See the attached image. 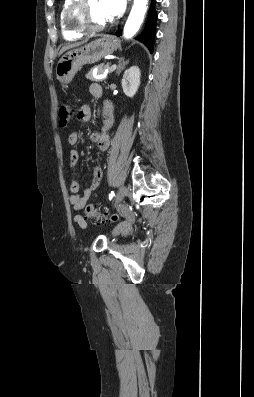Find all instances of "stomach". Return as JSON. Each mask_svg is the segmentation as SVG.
I'll use <instances>...</instances> for the list:
<instances>
[{
	"instance_id": "obj_1",
	"label": "stomach",
	"mask_w": 254,
	"mask_h": 397,
	"mask_svg": "<svg viewBox=\"0 0 254 397\" xmlns=\"http://www.w3.org/2000/svg\"><path fill=\"white\" fill-rule=\"evenodd\" d=\"M117 48L118 43L112 37L104 35L82 47L72 49L58 61L56 77L61 83H70L83 65L94 64Z\"/></svg>"
}]
</instances>
